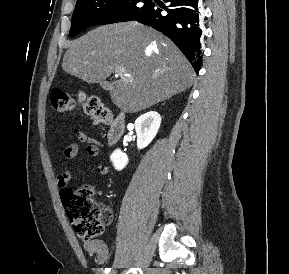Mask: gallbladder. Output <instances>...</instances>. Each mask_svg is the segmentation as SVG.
Here are the masks:
<instances>
[{"label": "gallbladder", "mask_w": 289, "mask_h": 274, "mask_svg": "<svg viewBox=\"0 0 289 274\" xmlns=\"http://www.w3.org/2000/svg\"><path fill=\"white\" fill-rule=\"evenodd\" d=\"M100 86H101L103 89H109L111 85H110L109 82L103 81V82L100 83Z\"/></svg>", "instance_id": "obj_1"}]
</instances>
